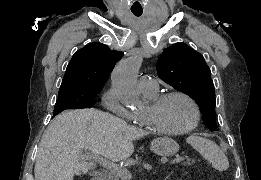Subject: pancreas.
Instances as JSON below:
<instances>
[{"label":"pancreas","instance_id":"obj_1","mask_svg":"<svg viewBox=\"0 0 261 180\" xmlns=\"http://www.w3.org/2000/svg\"><path fill=\"white\" fill-rule=\"evenodd\" d=\"M184 164L186 165V167H195L196 163L194 162L193 159H189V158H184Z\"/></svg>","mask_w":261,"mask_h":180}]
</instances>
